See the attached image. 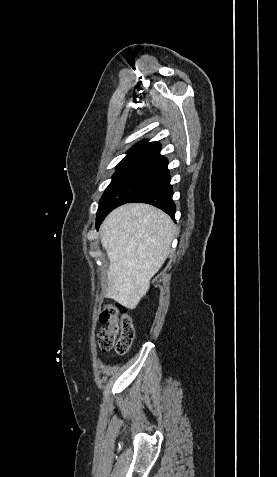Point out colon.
<instances>
[{
	"label": "colon",
	"instance_id": "colon-1",
	"mask_svg": "<svg viewBox=\"0 0 277 477\" xmlns=\"http://www.w3.org/2000/svg\"><path fill=\"white\" fill-rule=\"evenodd\" d=\"M99 321L107 324V327L98 331L99 347L104 351L114 348L119 355L127 353L135 330L126 308L119 303L107 304L100 313Z\"/></svg>",
	"mask_w": 277,
	"mask_h": 477
}]
</instances>
